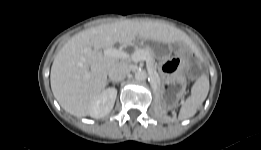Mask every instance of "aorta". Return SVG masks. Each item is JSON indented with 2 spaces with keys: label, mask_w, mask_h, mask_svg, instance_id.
<instances>
[{
  "label": "aorta",
  "mask_w": 261,
  "mask_h": 150,
  "mask_svg": "<svg viewBox=\"0 0 261 150\" xmlns=\"http://www.w3.org/2000/svg\"><path fill=\"white\" fill-rule=\"evenodd\" d=\"M147 78V73L143 70H139L135 73V79L137 81H144Z\"/></svg>",
  "instance_id": "obj_1"
}]
</instances>
